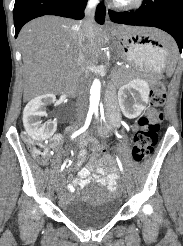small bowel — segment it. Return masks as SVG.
<instances>
[{
  "label": "small bowel",
  "instance_id": "small-bowel-1",
  "mask_svg": "<svg viewBox=\"0 0 183 246\" xmlns=\"http://www.w3.org/2000/svg\"><path fill=\"white\" fill-rule=\"evenodd\" d=\"M110 128H111L110 126H107L106 129H100L99 133L105 134ZM60 142H61L60 136H55L51 140V144L53 146H57L58 143ZM81 145L85 146L87 144H81ZM85 158H86V151L84 149H81L78 154L77 162L71 169V174L78 172V178L74 180L72 184H69L67 186L68 192L73 193L76 189L83 188L92 182H97L99 184L107 186L109 189H114L117 182L118 175L115 171L111 158L105 157V162L108 164V168L110 170V172L106 176L102 175V173L99 171L98 169L99 161L97 159L93 160L88 167L80 169L81 165L85 161Z\"/></svg>",
  "mask_w": 183,
  "mask_h": 246
}]
</instances>
